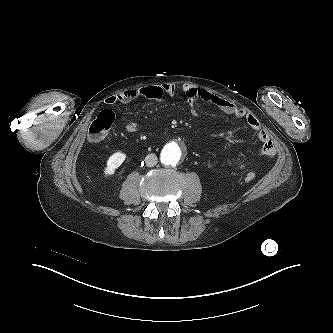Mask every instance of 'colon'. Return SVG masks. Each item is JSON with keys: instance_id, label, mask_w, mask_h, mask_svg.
Instances as JSON below:
<instances>
[{"instance_id": "colon-1", "label": "colon", "mask_w": 333, "mask_h": 333, "mask_svg": "<svg viewBox=\"0 0 333 333\" xmlns=\"http://www.w3.org/2000/svg\"><path fill=\"white\" fill-rule=\"evenodd\" d=\"M114 122V114L110 110L101 111L89 128V140L92 143H98L108 134ZM255 173L248 172L245 176L247 181L255 179Z\"/></svg>"}]
</instances>
